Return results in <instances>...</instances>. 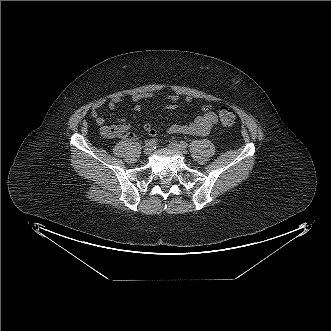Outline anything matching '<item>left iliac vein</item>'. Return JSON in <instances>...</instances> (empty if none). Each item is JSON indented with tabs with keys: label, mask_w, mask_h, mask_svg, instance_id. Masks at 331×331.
Here are the masks:
<instances>
[{
	"label": "left iliac vein",
	"mask_w": 331,
	"mask_h": 331,
	"mask_svg": "<svg viewBox=\"0 0 331 331\" xmlns=\"http://www.w3.org/2000/svg\"><path fill=\"white\" fill-rule=\"evenodd\" d=\"M168 147H169L170 149H172V150L177 151L178 153H181V154H186V153H187V150L184 149V148H182V147L180 146V144L177 143V142H170L169 145H168Z\"/></svg>",
	"instance_id": "obj_1"
}]
</instances>
